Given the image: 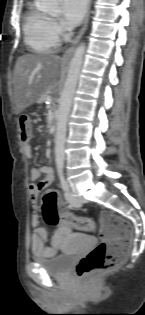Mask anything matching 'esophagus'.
I'll return each instance as SVG.
<instances>
[{"mask_svg": "<svg viewBox=\"0 0 145 315\" xmlns=\"http://www.w3.org/2000/svg\"><path fill=\"white\" fill-rule=\"evenodd\" d=\"M90 5H91V0H88L87 12H86V16H85V19H84L83 26H82L81 30L79 31L78 35L76 36V38L74 39L72 45L65 51V53H64V55L62 57V59L64 61L70 59V57L72 56V54L74 52V49H75L76 45L80 41L81 37L83 36V34H84V32H85V30L87 28L88 21H89V14H90Z\"/></svg>", "mask_w": 145, "mask_h": 315, "instance_id": "obj_1", "label": "esophagus"}]
</instances>
